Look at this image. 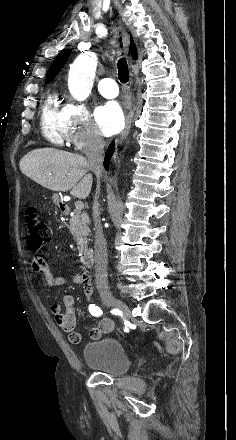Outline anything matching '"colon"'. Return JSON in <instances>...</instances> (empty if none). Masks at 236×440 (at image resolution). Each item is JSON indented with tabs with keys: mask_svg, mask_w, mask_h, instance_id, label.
I'll use <instances>...</instances> for the list:
<instances>
[{
	"mask_svg": "<svg viewBox=\"0 0 236 440\" xmlns=\"http://www.w3.org/2000/svg\"><path fill=\"white\" fill-rule=\"evenodd\" d=\"M27 244L33 249H39L51 239V229L45 223L43 217L34 210L26 214Z\"/></svg>",
	"mask_w": 236,
	"mask_h": 440,
	"instance_id": "5ec220e1",
	"label": "colon"
}]
</instances>
